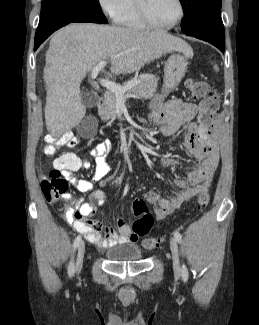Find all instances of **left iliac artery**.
<instances>
[{"mask_svg": "<svg viewBox=\"0 0 259 325\" xmlns=\"http://www.w3.org/2000/svg\"><path fill=\"white\" fill-rule=\"evenodd\" d=\"M174 237H175V239L179 242V243H181V241H182V236H181V234L178 232V231H175L174 232ZM181 272H182V277H183V279L184 280H187L188 279V269H187V267L183 264V266H182V269H181Z\"/></svg>", "mask_w": 259, "mask_h": 325, "instance_id": "left-iliac-artery-1", "label": "left iliac artery"}]
</instances>
